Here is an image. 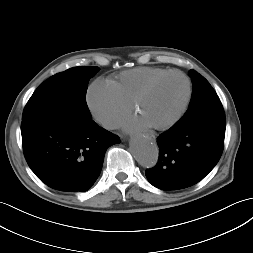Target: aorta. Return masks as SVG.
<instances>
[{
  "mask_svg": "<svg viewBox=\"0 0 253 253\" xmlns=\"http://www.w3.org/2000/svg\"><path fill=\"white\" fill-rule=\"evenodd\" d=\"M130 149L137 162L152 168L156 165L159 157V149L154 139L148 136H137L131 140Z\"/></svg>",
  "mask_w": 253,
  "mask_h": 253,
  "instance_id": "aorta-1",
  "label": "aorta"
}]
</instances>
